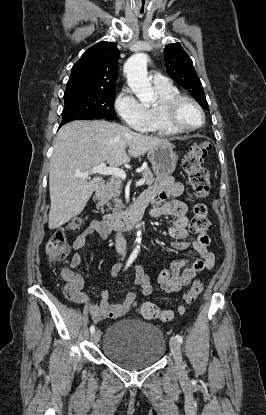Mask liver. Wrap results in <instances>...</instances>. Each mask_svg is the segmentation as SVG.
<instances>
[{
    "label": "liver",
    "mask_w": 266,
    "mask_h": 415,
    "mask_svg": "<svg viewBox=\"0 0 266 415\" xmlns=\"http://www.w3.org/2000/svg\"><path fill=\"white\" fill-rule=\"evenodd\" d=\"M162 144L171 146L168 140L143 135L105 120H76L62 126L50 159L49 228H59L79 215L100 181V178L92 181L77 178L75 173L90 171L105 161L118 167L128 163L130 157H140Z\"/></svg>",
    "instance_id": "liver-1"
}]
</instances>
